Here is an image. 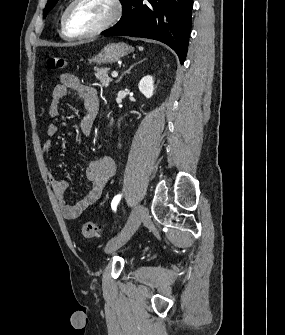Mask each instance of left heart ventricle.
I'll use <instances>...</instances> for the list:
<instances>
[{
  "instance_id": "obj_1",
  "label": "left heart ventricle",
  "mask_w": 285,
  "mask_h": 335,
  "mask_svg": "<svg viewBox=\"0 0 285 335\" xmlns=\"http://www.w3.org/2000/svg\"><path fill=\"white\" fill-rule=\"evenodd\" d=\"M110 14V7L103 1H85L75 6L72 21L80 30H92L102 25Z\"/></svg>"
}]
</instances>
